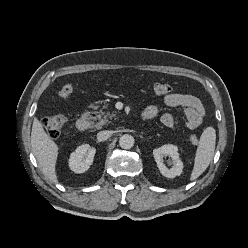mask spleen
<instances>
[{
	"label": "spleen",
	"mask_w": 248,
	"mask_h": 248,
	"mask_svg": "<svg viewBox=\"0 0 248 248\" xmlns=\"http://www.w3.org/2000/svg\"><path fill=\"white\" fill-rule=\"evenodd\" d=\"M216 132L215 129L209 127L204 130L200 137L199 145L196 150L194 167L190 180L197 179L209 166L215 150Z\"/></svg>",
	"instance_id": "1"
}]
</instances>
